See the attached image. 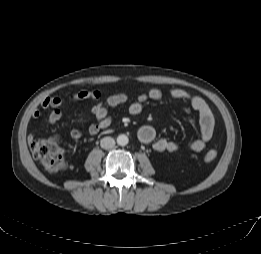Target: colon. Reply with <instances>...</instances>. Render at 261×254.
<instances>
[{
  "label": "colon",
  "mask_w": 261,
  "mask_h": 254,
  "mask_svg": "<svg viewBox=\"0 0 261 254\" xmlns=\"http://www.w3.org/2000/svg\"><path fill=\"white\" fill-rule=\"evenodd\" d=\"M34 158L48 171L57 172L66 168L65 154L60 146L58 135L46 139L33 140L30 144ZM217 157L216 148L209 149L205 156L206 163L213 162Z\"/></svg>",
  "instance_id": "5ec220e1"
}]
</instances>
